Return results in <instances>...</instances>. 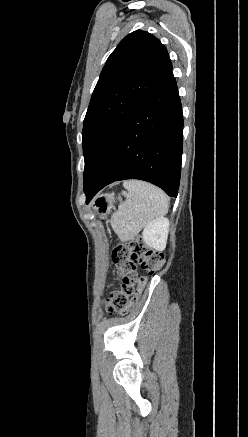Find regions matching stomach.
I'll use <instances>...</instances> for the list:
<instances>
[{"label":"stomach","instance_id":"1","mask_svg":"<svg viewBox=\"0 0 248 437\" xmlns=\"http://www.w3.org/2000/svg\"><path fill=\"white\" fill-rule=\"evenodd\" d=\"M96 209L99 211L102 215L107 216L110 212V210L114 207L113 206V196H103L96 200Z\"/></svg>","mask_w":248,"mask_h":437}]
</instances>
